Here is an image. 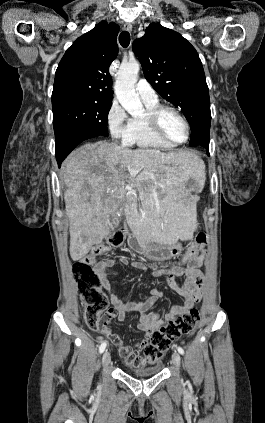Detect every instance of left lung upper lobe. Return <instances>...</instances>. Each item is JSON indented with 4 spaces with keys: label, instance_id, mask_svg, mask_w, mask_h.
Listing matches in <instances>:
<instances>
[{
    "label": "left lung upper lobe",
    "instance_id": "left-lung-upper-lobe-1",
    "mask_svg": "<svg viewBox=\"0 0 265 423\" xmlns=\"http://www.w3.org/2000/svg\"><path fill=\"white\" fill-rule=\"evenodd\" d=\"M132 47L147 81L185 114L192 130L190 145L197 146L209 138V90L195 48L179 33L159 23L150 24Z\"/></svg>",
    "mask_w": 265,
    "mask_h": 423
}]
</instances>
